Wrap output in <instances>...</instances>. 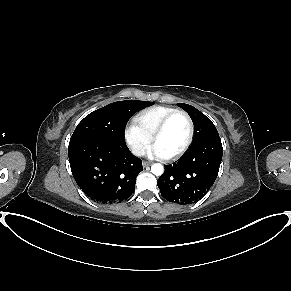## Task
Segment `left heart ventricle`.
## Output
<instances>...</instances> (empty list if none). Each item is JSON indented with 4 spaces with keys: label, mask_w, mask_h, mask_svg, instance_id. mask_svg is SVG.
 <instances>
[{
    "label": "left heart ventricle",
    "mask_w": 291,
    "mask_h": 291,
    "mask_svg": "<svg viewBox=\"0 0 291 291\" xmlns=\"http://www.w3.org/2000/svg\"><path fill=\"white\" fill-rule=\"evenodd\" d=\"M188 131V123L185 117L177 115L169 122L166 130L156 140L155 144L168 156L172 155L184 146Z\"/></svg>",
    "instance_id": "obj_1"
}]
</instances>
